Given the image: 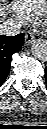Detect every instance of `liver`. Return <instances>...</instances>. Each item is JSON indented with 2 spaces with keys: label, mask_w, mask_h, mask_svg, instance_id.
<instances>
[{
  "label": "liver",
  "mask_w": 47,
  "mask_h": 129,
  "mask_svg": "<svg viewBox=\"0 0 47 129\" xmlns=\"http://www.w3.org/2000/svg\"><path fill=\"white\" fill-rule=\"evenodd\" d=\"M4 0H1L3 2ZM6 17V7L2 6L0 7V19H4Z\"/></svg>",
  "instance_id": "1"
}]
</instances>
